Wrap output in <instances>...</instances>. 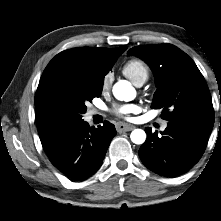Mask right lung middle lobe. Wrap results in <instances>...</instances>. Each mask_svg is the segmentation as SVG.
Segmentation results:
<instances>
[{
    "mask_svg": "<svg viewBox=\"0 0 221 221\" xmlns=\"http://www.w3.org/2000/svg\"><path fill=\"white\" fill-rule=\"evenodd\" d=\"M106 73L79 66L40 81L35 97L38 123L52 135L73 129L82 121L85 103L101 95Z\"/></svg>",
    "mask_w": 221,
    "mask_h": 221,
    "instance_id": "dd1d6c3e",
    "label": "right lung middle lobe"
}]
</instances>
